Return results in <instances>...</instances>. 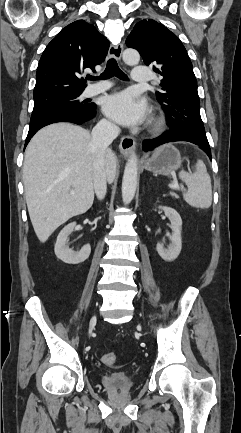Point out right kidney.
Listing matches in <instances>:
<instances>
[{"label":"right kidney","instance_id":"1","mask_svg":"<svg viewBox=\"0 0 241 433\" xmlns=\"http://www.w3.org/2000/svg\"><path fill=\"white\" fill-rule=\"evenodd\" d=\"M76 222H72L65 226L57 237L55 243V255L58 259L67 264H79L84 262L91 253L89 244L84 245L80 251L75 252L67 246L68 236L74 231Z\"/></svg>","mask_w":241,"mask_h":433}]
</instances>
